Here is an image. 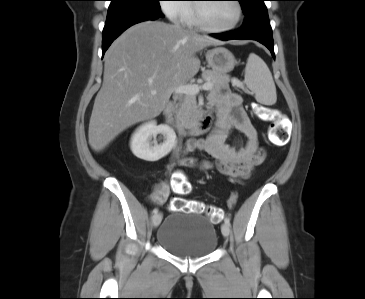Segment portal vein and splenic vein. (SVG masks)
<instances>
[{"label":"portal vein and splenic vein","instance_id":"portal-vein-and-splenic-vein-1","mask_svg":"<svg viewBox=\"0 0 365 299\" xmlns=\"http://www.w3.org/2000/svg\"><path fill=\"white\" fill-rule=\"evenodd\" d=\"M200 89L203 90H211L212 89V84L211 83H205L201 86L196 85V84H192V85H180L177 88H175V93L178 94H186V95H197L200 91ZM152 95L156 94V91L153 90L151 91Z\"/></svg>","mask_w":365,"mask_h":299}]
</instances>
